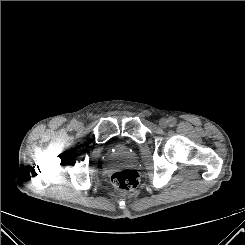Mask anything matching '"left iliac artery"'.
Returning <instances> with one entry per match:
<instances>
[{"mask_svg":"<svg viewBox=\"0 0 245 245\" xmlns=\"http://www.w3.org/2000/svg\"><path fill=\"white\" fill-rule=\"evenodd\" d=\"M169 125L171 126V127H173V126H175L176 125V119L174 118V117H171V118H169Z\"/></svg>","mask_w":245,"mask_h":245,"instance_id":"obj_1","label":"left iliac artery"}]
</instances>
